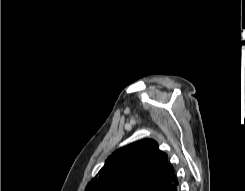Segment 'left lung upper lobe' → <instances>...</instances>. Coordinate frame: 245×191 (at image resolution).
<instances>
[{
    "label": "left lung upper lobe",
    "mask_w": 245,
    "mask_h": 191,
    "mask_svg": "<svg viewBox=\"0 0 245 191\" xmlns=\"http://www.w3.org/2000/svg\"><path fill=\"white\" fill-rule=\"evenodd\" d=\"M175 173L153 139H142L113 152L85 191H159Z\"/></svg>",
    "instance_id": "left-lung-upper-lobe-1"
}]
</instances>
